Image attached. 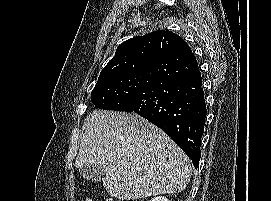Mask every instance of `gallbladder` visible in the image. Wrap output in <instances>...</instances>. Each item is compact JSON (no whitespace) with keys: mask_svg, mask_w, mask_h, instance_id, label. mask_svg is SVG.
<instances>
[{"mask_svg":"<svg viewBox=\"0 0 271 201\" xmlns=\"http://www.w3.org/2000/svg\"><path fill=\"white\" fill-rule=\"evenodd\" d=\"M79 173L84 179L100 182L105 176V169L102 165L94 164L79 169Z\"/></svg>","mask_w":271,"mask_h":201,"instance_id":"obj_1","label":"gallbladder"}]
</instances>
